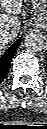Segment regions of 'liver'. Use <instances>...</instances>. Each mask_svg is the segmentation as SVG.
<instances>
[{"label": "liver", "instance_id": "6515ba94", "mask_svg": "<svg viewBox=\"0 0 47 129\" xmlns=\"http://www.w3.org/2000/svg\"><path fill=\"white\" fill-rule=\"evenodd\" d=\"M22 2L23 0H0V8L5 11L0 14V31L6 29L17 35L21 25L18 14L22 8ZM10 42L0 40V49L2 50L5 44Z\"/></svg>", "mask_w": 47, "mask_h": 129}]
</instances>
